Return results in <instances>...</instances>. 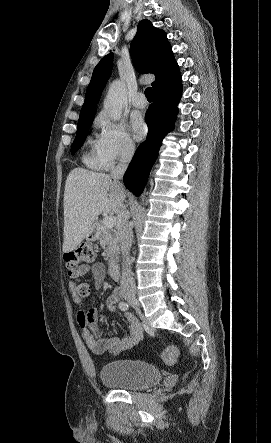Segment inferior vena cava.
Returning a JSON list of instances; mask_svg holds the SVG:
<instances>
[{
    "label": "inferior vena cava",
    "mask_w": 271,
    "mask_h": 443,
    "mask_svg": "<svg viewBox=\"0 0 271 443\" xmlns=\"http://www.w3.org/2000/svg\"><path fill=\"white\" fill-rule=\"evenodd\" d=\"M135 152V144L131 142V140H127V142H122L119 154V164H117L115 170L111 172V178L114 180H123V176L128 168V164L130 160H132V156ZM120 190H123L122 184H120ZM125 198V194H123ZM121 216L118 225V235L121 243V251L123 253L124 263L122 265V275H121V296H136L137 290L134 288V279L131 277V273H129L126 267L125 257L132 245L133 239V231L131 225H129V212L126 210L125 206H121Z\"/></svg>",
    "instance_id": "inferior-vena-cava-1"
}]
</instances>
